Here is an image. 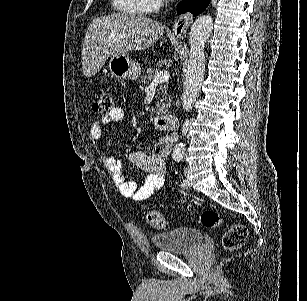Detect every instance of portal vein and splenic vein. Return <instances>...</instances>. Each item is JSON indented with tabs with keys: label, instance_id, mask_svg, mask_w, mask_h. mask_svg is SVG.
Masks as SVG:
<instances>
[{
	"label": "portal vein and splenic vein",
	"instance_id": "1",
	"mask_svg": "<svg viewBox=\"0 0 307 301\" xmlns=\"http://www.w3.org/2000/svg\"><path fill=\"white\" fill-rule=\"evenodd\" d=\"M169 78H170V74L168 70H162V72H157L155 78H153L149 86H157L159 82H166V80H169Z\"/></svg>",
	"mask_w": 307,
	"mask_h": 301
}]
</instances>
